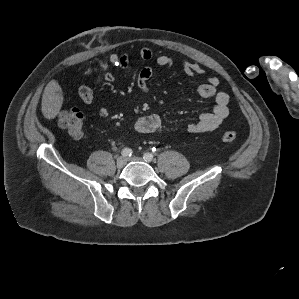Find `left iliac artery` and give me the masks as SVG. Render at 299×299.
I'll return each instance as SVG.
<instances>
[{
  "instance_id": "1",
  "label": "left iliac artery",
  "mask_w": 299,
  "mask_h": 299,
  "mask_svg": "<svg viewBox=\"0 0 299 299\" xmlns=\"http://www.w3.org/2000/svg\"><path fill=\"white\" fill-rule=\"evenodd\" d=\"M143 158L147 161H151L153 159V155L151 153H145Z\"/></svg>"
}]
</instances>
